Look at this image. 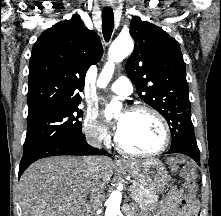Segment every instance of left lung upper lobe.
Returning <instances> with one entry per match:
<instances>
[{
	"instance_id": "1",
	"label": "left lung upper lobe",
	"mask_w": 221,
	"mask_h": 216,
	"mask_svg": "<svg viewBox=\"0 0 221 216\" xmlns=\"http://www.w3.org/2000/svg\"><path fill=\"white\" fill-rule=\"evenodd\" d=\"M130 34L135 40V49L126 63V72L137 93L167 120L172 133L170 149L200 153L178 42L160 27L139 17L132 18Z\"/></svg>"
}]
</instances>
